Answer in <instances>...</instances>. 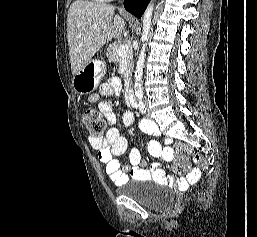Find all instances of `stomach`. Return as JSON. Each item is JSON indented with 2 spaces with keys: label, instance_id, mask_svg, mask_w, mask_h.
I'll return each instance as SVG.
<instances>
[{
  "label": "stomach",
  "instance_id": "0dacf381",
  "mask_svg": "<svg viewBox=\"0 0 257 237\" xmlns=\"http://www.w3.org/2000/svg\"><path fill=\"white\" fill-rule=\"evenodd\" d=\"M105 74L104 64L98 60L89 61L72 80L76 93L86 95L94 91Z\"/></svg>",
  "mask_w": 257,
  "mask_h": 237
}]
</instances>
